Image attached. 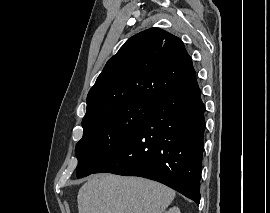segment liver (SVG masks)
<instances>
[{"mask_svg": "<svg viewBox=\"0 0 270 213\" xmlns=\"http://www.w3.org/2000/svg\"><path fill=\"white\" fill-rule=\"evenodd\" d=\"M175 192L157 182L113 174L91 177L77 195L79 213H162Z\"/></svg>", "mask_w": 270, "mask_h": 213, "instance_id": "liver-1", "label": "liver"}]
</instances>
